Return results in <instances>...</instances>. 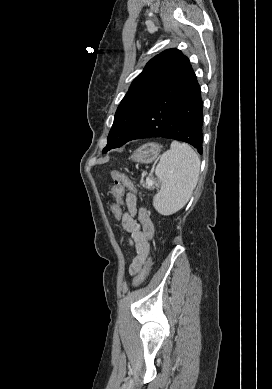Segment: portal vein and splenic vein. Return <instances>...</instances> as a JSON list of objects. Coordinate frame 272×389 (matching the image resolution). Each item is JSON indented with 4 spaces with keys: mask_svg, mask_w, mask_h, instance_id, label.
Masks as SVG:
<instances>
[{
    "mask_svg": "<svg viewBox=\"0 0 272 389\" xmlns=\"http://www.w3.org/2000/svg\"><path fill=\"white\" fill-rule=\"evenodd\" d=\"M147 185L148 186H152L153 185V181H151V180L147 181Z\"/></svg>",
    "mask_w": 272,
    "mask_h": 389,
    "instance_id": "obj_1",
    "label": "portal vein and splenic vein"
}]
</instances>
